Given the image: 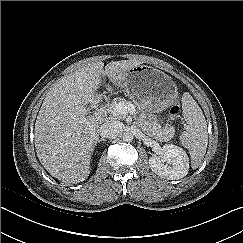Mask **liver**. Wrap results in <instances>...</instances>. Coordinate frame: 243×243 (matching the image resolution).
<instances>
[{"instance_id": "1", "label": "liver", "mask_w": 243, "mask_h": 243, "mask_svg": "<svg viewBox=\"0 0 243 243\" xmlns=\"http://www.w3.org/2000/svg\"><path fill=\"white\" fill-rule=\"evenodd\" d=\"M139 60L101 61L64 76L47 93L35 122L36 153L43 167L65 183H79L90 174V161L99 139V122L86 105L108 77L116 82L141 65Z\"/></svg>"}]
</instances>
